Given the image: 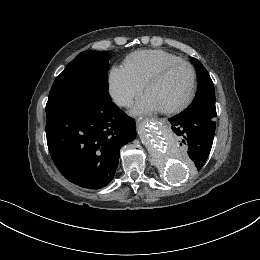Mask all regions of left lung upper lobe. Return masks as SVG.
Returning a JSON list of instances; mask_svg holds the SVG:
<instances>
[{"mask_svg":"<svg viewBox=\"0 0 260 260\" xmlns=\"http://www.w3.org/2000/svg\"><path fill=\"white\" fill-rule=\"evenodd\" d=\"M198 76V87L192 103L184 110L212 109L215 107L214 84L205 67L195 58H192Z\"/></svg>","mask_w":260,"mask_h":260,"instance_id":"5c2ea615","label":"left lung upper lobe"}]
</instances>
